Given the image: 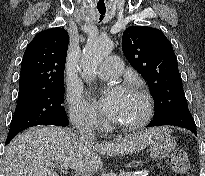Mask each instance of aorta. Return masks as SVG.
<instances>
[{
    "mask_svg": "<svg viewBox=\"0 0 205 176\" xmlns=\"http://www.w3.org/2000/svg\"><path fill=\"white\" fill-rule=\"evenodd\" d=\"M113 49V41L109 38L89 41L83 51L81 75L90 82L94 79L96 69Z\"/></svg>",
    "mask_w": 205,
    "mask_h": 176,
    "instance_id": "obj_1",
    "label": "aorta"
}]
</instances>
